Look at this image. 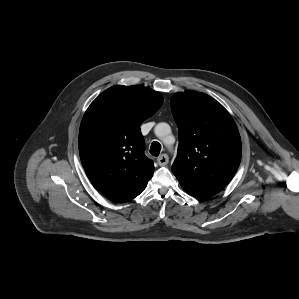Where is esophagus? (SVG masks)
<instances>
[{
	"label": "esophagus",
	"instance_id": "obj_1",
	"mask_svg": "<svg viewBox=\"0 0 299 299\" xmlns=\"http://www.w3.org/2000/svg\"><path fill=\"white\" fill-rule=\"evenodd\" d=\"M169 161V158L166 154H162L157 158V162L160 166H165Z\"/></svg>",
	"mask_w": 299,
	"mask_h": 299
}]
</instances>
